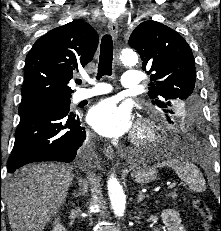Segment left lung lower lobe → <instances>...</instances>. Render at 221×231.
<instances>
[{"mask_svg": "<svg viewBox=\"0 0 221 231\" xmlns=\"http://www.w3.org/2000/svg\"><path fill=\"white\" fill-rule=\"evenodd\" d=\"M188 133H190V135L186 137H183V135L177 133L176 135H173V140L174 143L177 144L178 146H190L189 144H194V142H203L204 141V134L201 130V124H200V119L198 118V116H194L193 118H191V120L188 123V127H187ZM191 149V148H190ZM199 150H203L201 148H198Z\"/></svg>", "mask_w": 221, "mask_h": 231, "instance_id": "1", "label": "left lung lower lobe"}]
</instances>
